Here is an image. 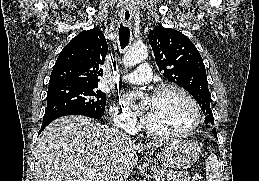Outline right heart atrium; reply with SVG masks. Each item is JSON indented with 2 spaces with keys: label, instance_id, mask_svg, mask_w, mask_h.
<instances>
[{
  "label": "right heart atrium",
  "instance_id": "obj_1",
  "mask_svg": "<svg viewBox=\"0 0 259 181\" xmlns=\"http://www.w3.org/2000/svg\"><path fill=\"white\" fill-rule=\"evenodd\" d=\"M110 117L113 124L121 129L132 132L136 128L137 118L126 108L117 103L110 106Z\"/></svg>",
  "mask_w": 259,
  "mask_h": 181
}]
</instances>
